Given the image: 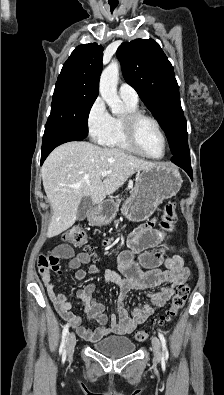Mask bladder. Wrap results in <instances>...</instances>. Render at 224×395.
Returning a JSON list of instances; mask_svg holds the SVG:
<instances>
[{
    "mask_svg": "<svg viewBox=\"0 0 224 395\" xmlns=\"http://www.w3.org/2000/svg\"><path fill=\"white\" fill-rule=\"evenodd\" d=\"M92 348L107 357L118 358L133 353L136 345L129 337L111 336L94 343Z\"/></svg>",
    "mask_w": 224,
    "mask_h": 395,
    "instance_id": "31cf9c89",
    "label": "bladder"
}]
</instances>
